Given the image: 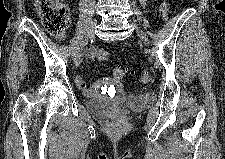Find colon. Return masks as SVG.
Returning a JSON list of instances; mask_svg holds the SVG:
<instances>
[{
	"label": "colon",
	"instance_id": "obj_1",
	"mask_svg": "<svg viewBox=\"0 0 225 159\" xmlns=\"http://www.w3.org/2000/svg\"><path fill=\"white\" fill-rule=\"evenodd\" d=\"M36 8L42 17L43 24L47 31L54 36H62L65 29L69 25L70 17L67 8V4L64 0H37ZM159 14L163 20H166L169 15L168 5L164 1H160ZM96 58L105 62L109 59V53L104 49H96ZM125 69L117 67L113 71V76L116 80H121L125 76ZM152 75L149 71H144L140 78V84H146L150 82Z\"/></svg>",
	"mask_w": 225,
	"mask_h": 159
}]
</instances>
